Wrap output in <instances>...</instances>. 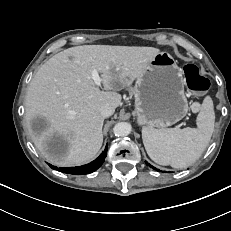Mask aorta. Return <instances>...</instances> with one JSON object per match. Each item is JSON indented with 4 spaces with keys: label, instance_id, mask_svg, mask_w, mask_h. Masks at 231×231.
Wrapping results in <instances>:
<instances>
[{
    "label": "aorta",
    "instance_id": "aorta-1",
    "mask_svg": "<svg viewBox=\"0 0 231 231\" xmlns=\"http://www.w3.org/2000/svg\"><path fill=\"white\" fill-rule=\"evenodd\" d=\"M131 125L128 122H119L113 127V133L118 137H125L131 133Z\"/></svg>",
    "mask_w": 231,
    "mask_h": 231
}]
</instances>
